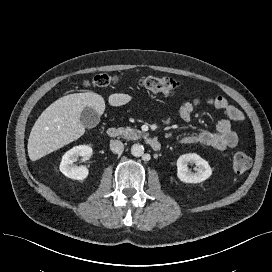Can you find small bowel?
I'll return each instance as SVG.
<instances>
[{
	"instance_id": "obj_1",
	"label": "small bowel",
	"mask_w": 272,
	"mask_h": 272,
	"mask_svg": "<svg viewBox=\"0 0 272 272\" xmlns=\"http://www.w3.org/2000/svg\"><path fill=\"white\" fill-rule=\"evenodd\" d=\"M207 104L221 110L225 118L221 119L216 126V131H203L197 134H187L180 138L181 144H201L213 147L218 150L233 148L238 144V135L232 129V123H241L244 121V114L229 101L222 97H211L207 99ZM201 99L194 97L183 103L179 108L180 118L188 122L193 112L200 106Z\"/></svg>"
}]
</instances>
